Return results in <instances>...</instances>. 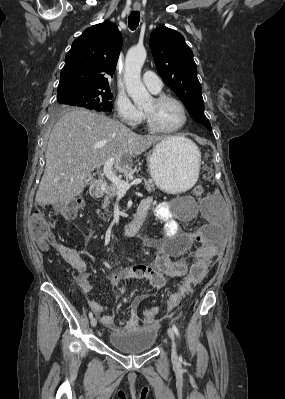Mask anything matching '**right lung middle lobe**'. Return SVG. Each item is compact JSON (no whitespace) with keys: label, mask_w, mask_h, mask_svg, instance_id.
Returning a JSON list of instances; mask_svg holds the SVG:
<instances>
[{"label":"right lung middle lobe","mask_w":285,"mask_h":399,"mask_svg":"<svg viewBox=\"0 0 285 399\" xmlns=\"http://www.w3.org/2000/svg\"><path fill=\"white\" fill-rule=\"evenodd\" d=\"M111 98L112 94L109 88L71 90L57 95L58 109L61 110L67 106H77L110 112L112 110Z\"/></svg>","instance_id":"dd1d6c3e"}]
</instances>
